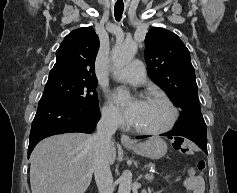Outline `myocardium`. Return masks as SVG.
Here are the masks:
<instances>
[{
  "instance_id": "obj_1",
  "label": "myocardium",
  "mask_w": 237,
  "mask_h": 193,
  "mask_svg": "<svg viewBox=\"0 0 237 193\" xmlns=\"http://www.w3.org/2000/svg\"><path fill=\"white\" fill-rule=\"evenodd\" d=\"M145 100H159V101L163 102L168 107V109L170 111L169 121L164 127L158 128V129L141 128V127H138L134 124L132 125V128L140 134L151 135V136L161 135V134L167 133L170 130H172L178 120V109L175 106V104L166 95L161 94V93L149 94L145 97Z\"/></svg>"
}]
</instances>
